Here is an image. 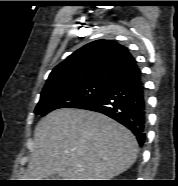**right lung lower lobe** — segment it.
<instances>
[{
    "label": "right lung lower lobe",
    "instance_id": "obj_1",
    "mask_svg": "<svg viewBox=\"0 0 178 186\" xmlns=\"http://www.w3.org/2000/svg\"><path fill=\"white\" fill-rule=\"evenodd\" d=\"M105 114L126 126L140 145L145 141L147 98L140 70L113 81L102 93L79 106Z\"/></svg>",
    "mask_w": 178,
    "mask_h": 186
}]
</instances>
